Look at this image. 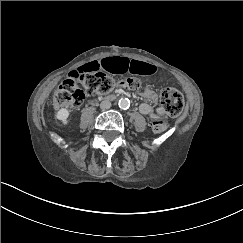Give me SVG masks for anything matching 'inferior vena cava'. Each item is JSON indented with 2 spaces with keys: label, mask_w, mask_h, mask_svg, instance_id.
<instances>
[{
  "label": "inferior vena cava",
  "mask_w": 243,
  "mask_h": 243,
  "mask_svg": "<svg viewBox=\"0 0 243 243\" xmlns=\"http://www.w3.org/2000/svg\"><path fill=\"white\" fill-rule=\"evenodd\" d=\"M110 107H111V102H110V101L105 100V101H102V102L100 103V108H101L102 110H107V109H109Z\"/></svg>",
  "instance_id": "obj_1"
}]
</instances>
